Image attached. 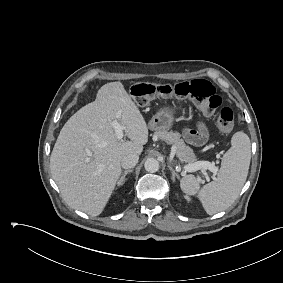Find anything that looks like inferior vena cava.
Segmentation results:
<instances>
[{"label":"inferior vena cava","instance_id":"602c4592","mask_svg":"<svg viewBox=\"0 0 283 283\" xmlns=\"http://www.w3.org/2000/svg\"><path fill=\"white\" fill-rule=\"evenodd\" d=\"M139 160V155L132 153L124 156L121 160L122 167L124 169L133 168Z\"/></svg>","mask_w":283,"mask_h":283}]
</instances>
